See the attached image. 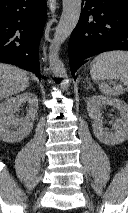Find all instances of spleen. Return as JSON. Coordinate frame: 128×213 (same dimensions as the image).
<instances>
[{
    "label": "spleen",
    "instance_id": "spleen-1",
    "mask_svg": "<svg viewBox=\"0 0 128 213\" xmlns=\"http://www.w3.org/2000/svg\"><path fill=\"white\" fill-rule=\"evenodd\" d=\"M90 74L94 81H100L99 89L104 95L118 96L124 93L126 89L122 85L111 87L104 80L118 79L128 87V52L111 51L98 55L91 64Z\"/></svg>",
    "mask_w": 128,
    "mask_h": 213
}]
</instances>
